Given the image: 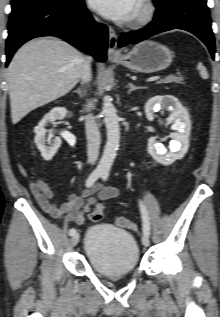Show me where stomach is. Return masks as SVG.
Here are the masks:
<instances>
[{
  "instance_id": "1",
  "label": "stomach",
  "mask_w": 220,
  "mask_h": 317,
  "mask_svg": "<svg viewBox=\"0 0 220 317\" xmlns=\"http://www.w3.org/2000/svg\"><path fill=\"white\" fill-rule=\"evenodd\" d=\"M173 53L160 43L145 40L126 55L112 60L130 70L140 73H153L166 69L172 62Z\"/></svg>"
}]
</instances>
